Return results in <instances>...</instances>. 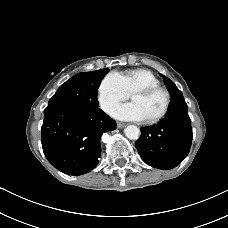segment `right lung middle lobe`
I'll use <instances>...</instances> for the list:
<instances>
[{
    "label": "right lung middle lobe",
    "mask_w": 228,
    "mask_h": 228,
    "mask_svg": "<svg viewBox=\"0 0 228 228\" xmlns=\"http://www.w3.org/2000/svg\"><path fill=\"white\" fill-rule=\"evenodd\" d=\"M108 72L109 69L106 68L74 75L58 88L49 100L48 107L64 106L76 110L98 108V88Z\"/></svg>",
    "instance_id": "obj_1"
}]
</instances>
